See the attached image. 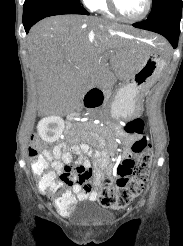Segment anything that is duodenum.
<instances>
[{"label": "duodenum", "mask_w": 183, "mask_h": 246, "mask_svg": "<svg viewBox=\"0 0 183 246\" xmlns=\"http://www.w3.org/2000/svg\"><path fill=\"white\" fill-rule=\"evenodd\" d=\"M105 99L103 90L97 86L91 87L84 96L82 109H92L100 106ZM73 116H82V111H73Z\"/></svg>", "instance_id": "410a0bca"}]
</instances>
